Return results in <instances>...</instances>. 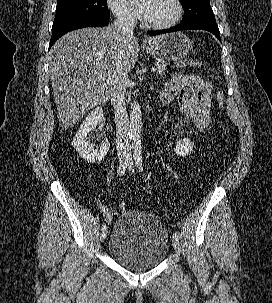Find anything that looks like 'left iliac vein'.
Listing matches in <instances>:
<instances>
[{"label":"left iliac vein","instance_id":"4c4485c4","mask_svg":"<svg viewBox=\"0 0 272 303\" xmlns=\"http://www.w3.org/2000/svg\"><path fill=\"white\" fill-rule=\"evenodd\" d=\"M128 169L130 171L134 172V166H133V162L131 159L128 161ZM172 245H173V248L175 249L177 255H180L181 254V244H180V240L178 237H176V236L172 237Z\"/></svg>","mask_w":272,"mask_h":303}]
</instances>
